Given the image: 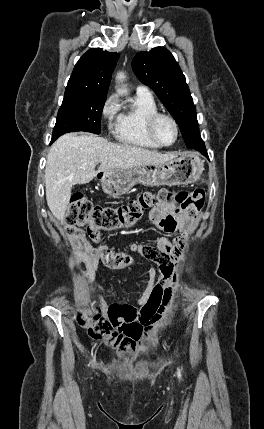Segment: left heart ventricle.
Wrapping results in <instances>:
<instances>
[{
	"label": "left heart ventricle",
	"mask_w": 264,
	"mask_h": 429,
	"mask_svg": "<svg viewBox=\"0 0 264 429\" xmlns=\"http://www.w3.org/2000/svg\"><path fill=\"white\" fill-rule=\"evenodd\" d=\"M156 134L161 142L165 144L171 143L175 138L173 124L167 119H160L156 125Z\"/></svg>",
	"instance_id": "obj_1"
}]
</instances>
